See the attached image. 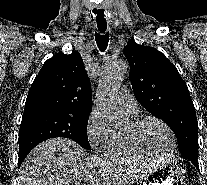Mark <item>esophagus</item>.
<instances>
[{
    "label": "esophagus",
    "mask_w": 207,
    "mask_h": 185,
    "mask_svg": "<svg viewBox=\"0 0 207 185\" xmlns=\"http://www.w3.org/2000/svg\"><path fill=\"white\" fill-rule=\"evenodd\" d=\"M95 14H106V9H95ZM94 19L96 20V24H100V30H107L109 22L107 21L106 15H95ZM98 27V26H97Z\"/></svg>",
    "instance_id": "1"
}]
</instances>
